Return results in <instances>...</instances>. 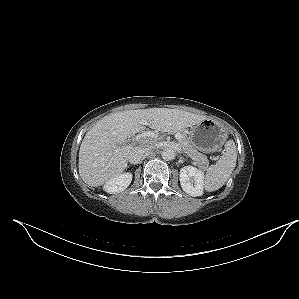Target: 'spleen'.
Listing matches in <instances>:
<instances>
[{"label":"spleen","instance_id":"spleen-1","mask_svg":"<svg viewBox=\"0 0 299 299\" xmlns=\"http://www.w3.org/2000/svg\"><path fill=\"white\" fill-rule=\"evenodd\" d=\"M237 152L235 142L228 140L225 144V152L220 160L211 165L204 180V187L207 192H212L221 188L236 166Z\"/></svg>","mask_w":299,"mask_h":299}]
</instances>
